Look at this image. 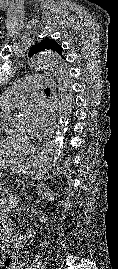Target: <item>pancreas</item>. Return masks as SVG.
<instances>
[{
  "label": "pancreas",
  "instance_id": "pancreas-1",
  "mask_svg": "<svg viewBox=\"0 0 118 269\" xmlns=\"http://www.w3.org/2000/svg\"><path fill=\"white\" fill-rule=\"evenodd\" d=\"M16 190V182H6L5 187H1V192H13Z\"/></svg>",
  "mask_w": 118,
  "mask_h": 269
}]
</instances>
